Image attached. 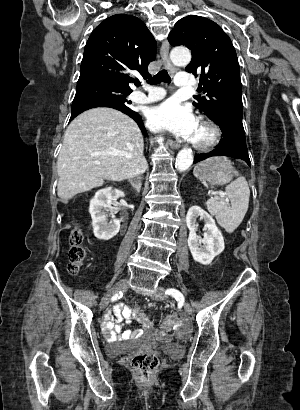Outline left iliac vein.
Segmentation results:
<instances>
[{"label": "left iliac vein", "mask_w": 300, "mask_h": 410, "mask_svg": "<svg viewBox=\"0 0 300 410\" xmlns=\"http://www.w3.org/2000/svg\"><path fill=\"white\" fill-rule=\"evenodd\" d=\"M150 297L153 300H163L166 298V295L164 294V289L162 287H158L156 292L150 294ZM184 311L186 314L191 315L193 312L192 306L189 303H185Z\"/></svg>", "instance_id": "1"}]
</instances>
